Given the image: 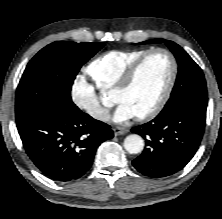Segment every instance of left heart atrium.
I'll return each instance as SVG.
<instances>
[{
    "instance_id": "obj_1",
    "label": "left heart atrium",
    "mask_w": 222,
    "mask_h": 219,
    "mask_svg": "<svg viewBox=\"0 0 222 219\" xmlns=\"http://www.w3.org/2000/svg\"><path fill=\"white\" fill-rule=\"evenodd\" d=\"M135 116L134 111L127 104L119 103L114 112L113 121L115 123H124Z\"/></svg>"
}]
</instances>
